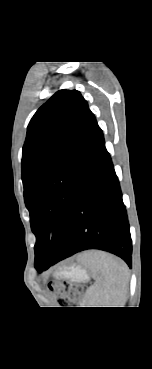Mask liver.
Segmentation results:
<instances>
[{
    "label": "liver",
    "mask_w": 152,
    "mask_h": 369,
    "mask_svg": "<svg viewBox=\"0 0 152 369\" xmlns=\"http://www.w3.org/2000/svg\"><path fill=\"white\" fill-rule=\"evenodd\" d=\"M88 255H89V253L85 254V255H84V258H87V257H88Z\"/></svg>",
    "instance_id": "1"
}]
</instances>
